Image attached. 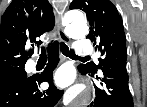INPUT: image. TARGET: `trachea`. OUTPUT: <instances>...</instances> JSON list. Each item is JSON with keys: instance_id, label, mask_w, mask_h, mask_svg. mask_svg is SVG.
Instances as JSON below:
<instances>
[{"instance_id": "3493384b", "label": "trachea", "mask_w": 147, "mask_h": 107, "mask_svg": "<svg viewBox=\"0 0 147 107\" xmlns=\"http://www.w3.org/2000/svg\"><path fill=\"white\" fill-rule=\"evenodd\" d=\"M60 49L63 55L70 57V58H89V56H85V57L77 56L72 50H69L68 46L64 42L60 43ZM46 55H47L46 49L45 47H42L40 57H46Z\"/></svg>"}]
</instances>
